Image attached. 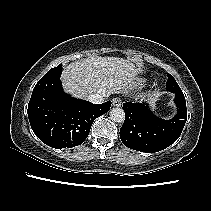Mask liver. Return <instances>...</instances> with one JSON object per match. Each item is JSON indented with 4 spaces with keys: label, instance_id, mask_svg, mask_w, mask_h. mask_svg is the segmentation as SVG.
I'll return each instance as SVG.
<instances>
[{
    "label": "liver",
    "instance_id": "obj_1",
    "mask_svg": "<svg viewBox=\"0 0 211 211\" xmlns=\"http://www.w3.org/2000/svg\"><path fill=\"white\" fill-rule=\"evenodd\" d=\"M138 70L129 60L93 56L67 64L61 76L64 91L76 98L91 94L128 92L137 86ZM158 94H153L156 99Z\"/></svg>",
    "mask_w": 211,
    "mask_h": 211
}]
</instances>
